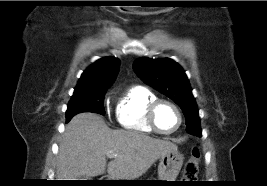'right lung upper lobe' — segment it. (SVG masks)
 Instances as JSON below:
<instances>
[{"instance_id": "cb5924a9", "label": "right lung upper lobe", "mask_w": 267, "mask_h": 186, "mask_svg": "<svg viewBox=\"0 0 267 186\" xmlns=\"http://www.w3.org/2000/svg\"><path fill=\"white\" fill-rule=\"evenodd\" d=\"M120 66L115 57H104L90 65L81 75L74 92L109 88Z\"/></svg>"}]
</instances>
